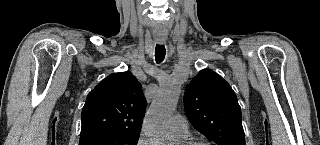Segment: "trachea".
Here are the masks:
<instances>
[{
	"instance_id": "trachea-1",
	"label": "trachea",
	"mask_w": 320,
	"mask_h": 145,
	"mask_svg": "<svg viewBox=\"0 0 320 145\" xmlns=\"http://www.w3.org/2000/svg\"><path fill=\"white\" fill-rule=\"evenodd\" d=\"M165 54H166V49L164 45H156L155 48V60L157 63H161L164 58H165Z\"/></svg>"
}]
</instances>
